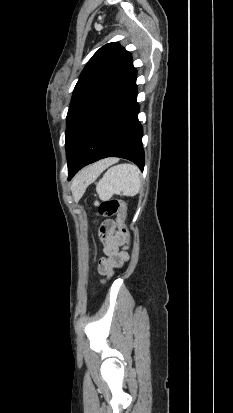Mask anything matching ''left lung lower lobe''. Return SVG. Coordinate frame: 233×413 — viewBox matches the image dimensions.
<instances>
[{"label":"left lung lower lobe","instance_id":"0a47b994","mask_svg":"<svg viewBox=\"0 0 233 413\" xmlns=\"http://www.w3.org/2000/svg\"><path fill=\"white\" fill-rule=\"evenodd\" d=\"M136 77L133 67L119 90L87 127L74 157L68 163V180L85 165L106 157L128 159L143 171V130L137 118Z\"/></svg>","mask_w":233,"mask_h":413}]
</instances>
